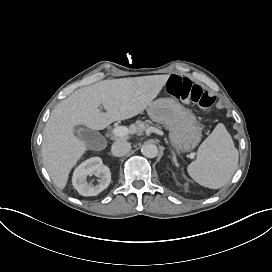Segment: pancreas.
Segmentation results:
<instances>
[{
	"label": "pancreas",
	"mask_w": 272,
	"mask_h": 272,
	"mask_svg": "<svg viewBox=\"0 0 272 272\" xmlns=\"http://www.w3.org/2000/svg\"><path fill=\"white\" fill-rule=\"evenodd\" d=\"M148 123V121H138L137 122V126L142 129L145 130L146 124Z\"/></svg>",
	"instance_id": "cf45deb5"
}]
</instances>
